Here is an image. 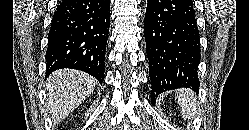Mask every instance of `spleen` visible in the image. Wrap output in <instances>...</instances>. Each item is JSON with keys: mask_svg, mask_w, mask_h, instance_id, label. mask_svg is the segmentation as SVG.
I'll return each mask as SVG.
<instances>
[{"mask_svg": "<svg viewBox=\"0 0 249 130\" xmlns=\"http://www.w3.org/2000/svg\"><path fill=\"white\" fill-rule=\"evenodd\" d=\"M179 105L181 107L182 117L190 119L195 116L197 111L196 97L191 90H179L177 93Z\"/></svg>", "mask_w": 249, "mask_h": 130, "instance_id": "3e777b00", "label": "spleen"}]
</instances>
